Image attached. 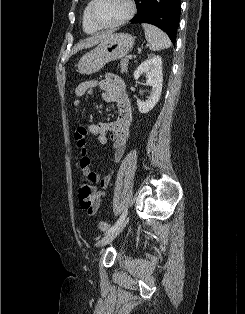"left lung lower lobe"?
<instances>
[{"label": "left lung lower lobe", "mask_w": 245, "mask_h": 314, "mask_svg": "<svg viewBox=\"0 0 245 314\" xmlns=\"http://www.w3.org/2000/svg\"><path fill=\"white\" fill-rule=\"evenodd\" d=\"M132 23H149L164 30L175 44L180 19V0H139Z\"/></svg>", "instance_id": "1"}]
</instances>
